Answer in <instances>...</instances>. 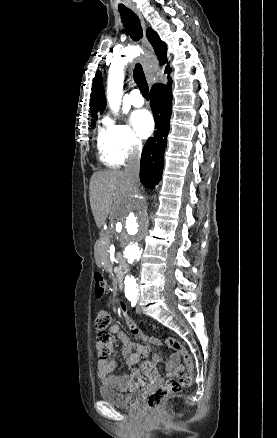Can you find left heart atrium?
Segmentation results:
<instances>
[{
	"mask_svg": "<svg viewBox=\"0 0 277 438\" xmlns=\"http://www.w3.org/2000/svg\"><path fill=\"white\" fill-rule=\"evenodd\" d=\"M132 123L139 136L146 138L153 129V119L149 111L143 109L133 113Z\"/></svg>",
	"mask_w": 277,
	"mask_h": 438,
	"instance_id": "obj_1",
	"label": "left heart atrium"
}]
</instances>
